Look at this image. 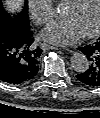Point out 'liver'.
Returning <instances> with one entry per match:
<instances>
[{"label":"liver","instance_id":"1","mask_svg":"<svg viewBox=\"0 0 100 118\" xmlns=\"http://www.w3.org/2000/svg\"><path fill=\"white\" fill-rule=\"evenodd\" d=\"M5 2L8 8L11 10H16L21 8L23 4V0H6Z\"/></svg>","mask_w":100,"mask_h":118}]
</instances>
